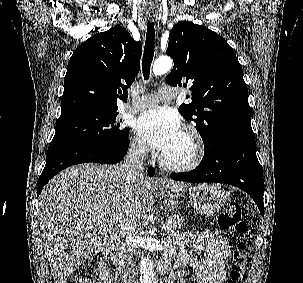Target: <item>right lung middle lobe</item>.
Listing matches in <instances>:
<instances>
[{
    "mask_svg": "<svg viewBox=\"0 0 303 283\" xmlns=\"http://www.w3.org/2000/svg\"><path fill=\"white\" fill-rule=\"evenodd\" d=\"M118 112L87 110L60 116L50 144L82 141L109 146L123 145L128 130L119 128Z\"/></svg>",
    "mask_w": 303,
    "mask_h": 283,
    "instance_id": "right-lung-middle-lobe-1",
    "label": "right lung middle lobe"
}]
</instances>
